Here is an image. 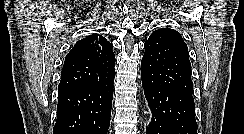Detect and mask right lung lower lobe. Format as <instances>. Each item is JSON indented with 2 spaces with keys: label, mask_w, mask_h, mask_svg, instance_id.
Listing matches in <instances>:
<instances>
[{
  "label": "right lung lower lobe",
  "mask_w": 244,
  "mask_h": 134,
  "mask_svg": "<svg viewBox=\"0 0 244 134\" xmlns=\"http://www.w3.org/2000/svg\"><path fill=\"white\" fill-rule=\"evenodd\" d=\"M113 83L114 75L96 85L58 91L53 134H107Z\"/></svg>",
  "instance_id": "1"
}]
</instances>
